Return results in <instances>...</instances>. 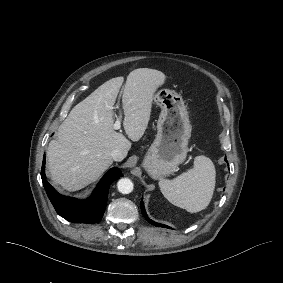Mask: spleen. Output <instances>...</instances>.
Wrapping results in <instances>:
<instances>
[{
  "instance_id": "3e777b00",
  "label": "spleen",
  "mask_w": 283,
  "mask_h": 283,
  "mask_svg": "<svg viewBox=\"0 0 283 283\" xmlns=\"http://www.w3.org/2000/svg\"><path fill=\"white\" fill-rule=\"evenodd\" d=\"M216 171L210 158L195 157L194 166L173 180L160 179L164 197L173 205L196 213L205 209L213 196Z\"/></svg>"
}]
</instances>
